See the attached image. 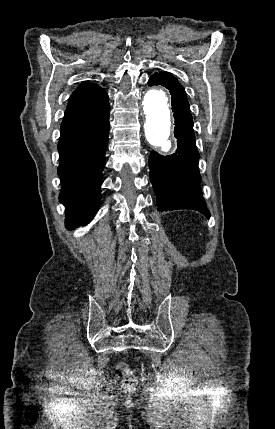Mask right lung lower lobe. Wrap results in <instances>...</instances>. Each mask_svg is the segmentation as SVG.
I'll return each instance as SVG.
<instances>
[{
	"mask_svg": "<svg viewBox=\"0 0 275 429\" xmlns=\"http://www.w3.org/2000/svg\"><path fill=\"white\" fill-rule=\"evenodd\" d=\"M108 133L109 109L92 120L61 127L58 175L62 189L59 199L66 206L68 228L92 220L99 209Z\"/></svg>",
	"mask_w": 275,
	"mask_h": 429,
	"instance_id": "right-lung-lower-lobe-1",
	"label": "right lung lower lobe"
}]
</instances>
